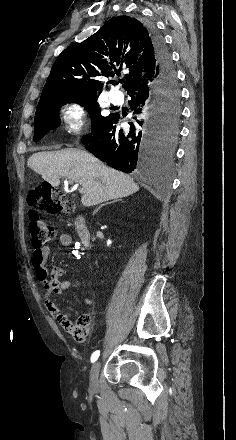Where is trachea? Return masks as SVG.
Returning a JSON list of instances; mask_svg holds the SVG:
<instances>
[{"instance_id": "trachea-1", "label": "trachea", "mask_w": 236, "mask_h": 440, "mask_svg": "<svg viewBox=\"0 0 236 440\" xmlns=\"http://www.w3.org/2000/svg\"><path fill=\"white\" fill-rule=\"evenodd\" d=\"M120 83H123V80H119Z\"/></svg>"}]
</instances>
